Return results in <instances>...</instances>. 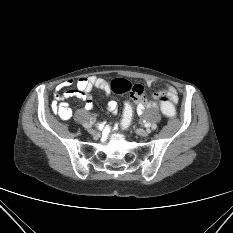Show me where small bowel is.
<instances>
[{
    "label": "small bowel",
    "instance_id": "obj_1",
    "mask_svg": "<svg viewBox=\"0 0 233 233\" xmlns=\"http://www.w3.org/2000/svg\"><path fill=\"white\" fill-rule=\"evenodd\" d=\"M148 85H152L153 81H147ZM73 85L72 80H68L60 83L54 92V98L51 103L52 110L55 114L61 117L64 120H69L73 116V111L70 108L69 104L65 102L69 98H79L85 102L84 108L87 111L93 110V102L91 98V91L93 89H99L109 94L111 92L110 83L104 79L97 78L95 76L80 78L77 81L76 88H69L64 93H61V90L64 88L71 87ZM164 92L169 103L173 106L177 100L178 95L176 89L169 84H166L164 87ZM155 103L152 101H139L136 106V112L141 115L143 114L146 108L154 106ZM107 110L112 114L116 115L118 112V103L114 100H111L107 103Z\"/></svg>",
    "mask_w": 233,
    "mask_h": 233
}]
</instances>
